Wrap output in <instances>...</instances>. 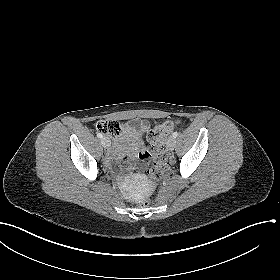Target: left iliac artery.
Wrapping results in <instances>:
<instances>
[{
	"label": "left iliac artery",
	"instance_id": "left-iliac-artery-1",
	"mask_svg": "<svg viewBox=\"0 0 280 280\" xmlns=\"http://www.w3.org/2000/svg\"><path fill=\"white\" fill-rule=\"evenodd\" d=\"M172 136H173L174 138H176V137L178 136V132H174V133L172 134Z\"/></svg>",
	"mask_w": 280,
	"mask_h": 280
}]
</instances>
